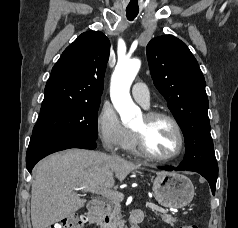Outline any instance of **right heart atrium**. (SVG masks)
<instances>
[{
    "instance_id": "1",
    "label": "right heart atrium",
    "mask_w": 238,
    "mask_h": 228,
    "mask_svg": "<svg viewBox=\"0 0 238 228\" xmlns=\"http://www.w3.org/2000/svg\"><path fill=\"white\" fill-rule=\"evenodd\" d=\"M96 126L99 139L107 150L118 151L125 148L131 131L124 126L110 103H104L101 107Z\"/></svg>"
}]
</instances>
